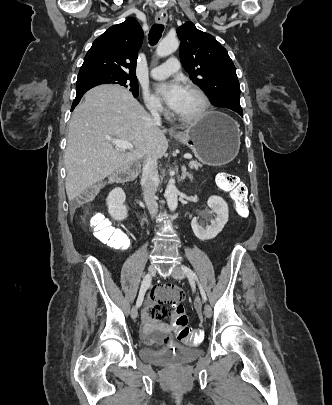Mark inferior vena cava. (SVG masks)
Here are the masks:
<instances>
[{
  "mask_svg": "<svg viewBox=\"0 0 332 405\" xmlns=\"http://www.w3.org/2000/svg\"><path fill=\"white\" fill-rule=\"evenodd\" d=\"M151 112L153 121L157 124H161V117L158 113V107L156 103H150L147 105ZM157 158L151 155H147L143 162L142 168V182L144 186V199L147 208L152 217L157 214L158 205L156 202L155 192L159 183L158 170H157Z\"/></svg>",
  "mask_w": 332,
  "mask_h": 405,
  "instance_id": "obj_1",
  "label": "inferior vena cava"
}]
</instances>
